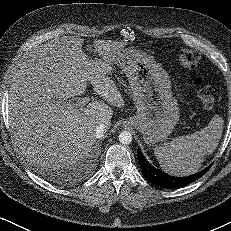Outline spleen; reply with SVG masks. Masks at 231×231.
Segmentation results:
<instances>
[{
	"instance_id": "1",
	"label": "spleen",
	"mask_w": 231,
	"mask_h": 231,
	"mask_svg": "<svg viewBox=\"0 0 231 231\" xmlns=\"http://www.w3.org/2000/svg\"><path fill=\"white\" fill-rule=\"evenodd\" d=\"M223 125V118L215 115L200 131L179 136L169 145L155 147L154 154L162 170L180 177L198 172L205 155L213 153L218 146L222 137Z\"/></svg>"
}]
</instances>
